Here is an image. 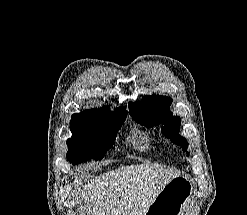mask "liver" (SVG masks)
<instances>
[{
	"label": "liver",
	"instance_id": "6515ba94",
	"mask_svg": "<svg viewBox=\"0 0 247 215\" xmlns=\"http://www.w3.org/2000/svg\"><path fill=\"white\" fill-rule=\"evenodd\" d=\"M156 164L122 166L94 177L83 186L82 215H143L160 190L174 177Z\"/></svg>",
	"mask_w": 247,
	"mask_h": 215
}]
</instances>
